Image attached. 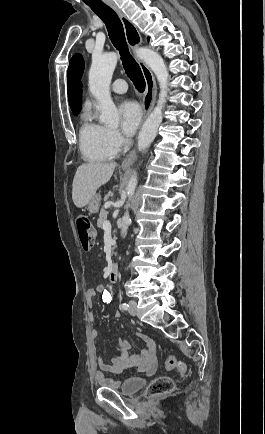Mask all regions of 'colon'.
<instances>
[{
  "label": "colon",
  "mask_w": 265,
  "mask_h": 434,
  "mask_svg": "<svg viewBox=\"0 0 265 434\" xmlns=\"http://www.w3.org/2000/svg\"><path fill=\"white\" fill-rule=\"evenodd\" d=\"M76 229L83 250L92 249L97 242V232L93 222L88 216H80L76 219ZM167 370L176 369L180 375H185V365L176 357L171 356L165 363ZM174 389V381L171 377L159 375L154 380L148 382L147 394L158 395L170 393Z\"/></svg>",
  "instance_id": "1"
}]
</instances>
